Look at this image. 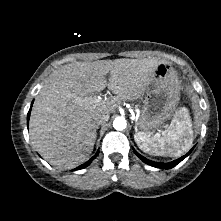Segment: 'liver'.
Masks as SVG:
<instances>
[{
  "label": "liver",
  "instance_id": "1",
  "mask_svg": "<svg viewBox=\"0 0 221 221\" xmlns=\"http://www.w3.org/2000/svg\"><path fill=\"white\" fill-rule=\"evenodd\" d=\"M160 63L164 61L122 58L75 62L53 71L32 108L29 134L33 146L59 168L70 169L83 163L96 140L94 115L113 113L119 99L140 98L149 90ZM106 86L117 97L95 102L97 97L92 94Z\"/></svg>",
  "mask_w": 221,
  "mask_h": 221
}]
</instances>
